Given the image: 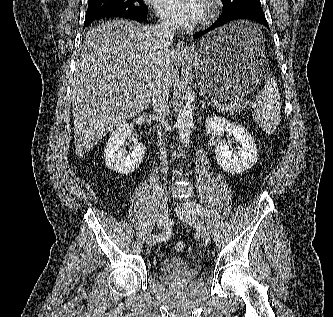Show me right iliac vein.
<instances>
[{
  "mask_svg": "<svg viewBox=\"0 0 333 317\" xmlns=\"http://www.w3.org/2000/svg\"><path fill=\"white\" fill-rule=\"evenodd\" d=\"M157 217H158L159 230H164L167 227V223H168L167 198L166 197H163L161 199V202H160L158 210H157ZM157 236H158L157 234L150 235V237L147 239L148 246H152L157 242L156 241Z\"/></svg>",
  "mask_w": 333,
  "mask_h": 317,
  "instance_id": "1",
  "label": "right iliac vein"
}]
</instances>
